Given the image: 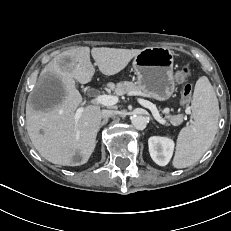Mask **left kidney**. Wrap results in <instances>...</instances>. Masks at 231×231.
<instances>
[{
  "label": "left kidney",
  "mask_w": 231,
  "mask_h": 231,
  "mask_svg": "<svg viewBox=\"0 0 231 231\" xmlns=\"http://www.w3.org/2000/svg\"><path fill=\"white\" fill-rule=\"evenodd\" d=\"M149 153L152 160L160 165L166 166L174 151L173 140L166 137L153 136L148 140Z\"/></svg>",
  "instance_id": "obj_1"
}]
</instances>
